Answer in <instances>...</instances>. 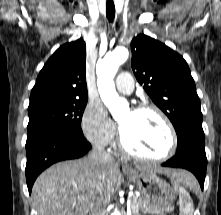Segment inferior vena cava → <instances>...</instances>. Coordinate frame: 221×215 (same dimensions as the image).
<instances>
[{
  "mask_svg": "<svg viewBox=\"0 0 221 215\" xmlns=\"http://www.w3.org/2000/svg\"><path fill=\"white\" fill-rule=\"evenodd\" d=\"M89 159L98 166H101L106 162L113 161V157L104 150L103 146L93 147L89 155ZM108 203L103 197L96 198L91 206L90 215H108L106 211Z\"/></svg>",
  "mask_w": 221,
  "mask_h": 215,
  "instance_id": "602c4592",
  "label": "inferior vena cava"
}]
</instances>
